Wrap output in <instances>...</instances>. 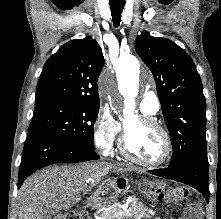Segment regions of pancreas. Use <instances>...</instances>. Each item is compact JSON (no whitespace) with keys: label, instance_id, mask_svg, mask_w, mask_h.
Here are the masks:
<instances>
[{"label":"pancreas","instance_id":"1","mask_svg":"<svg viewBox=\"0 0 221 219\" xmlns=\"http://www.w3.org/2000/svg\"><path fill=\"white\" fill-rule=\"evenodd\" d=\"M122 211L120 208L110 206L101 213V219H142L145 217H151L155 215V211L148 209L143 203L139 202L137 198H133L128 212L120 215Z\"/></svg>","mask_w":221,"mask_h":219}]
</instances>
